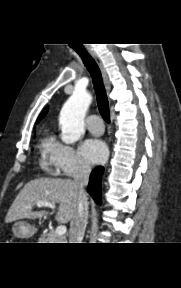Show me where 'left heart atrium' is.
<instances>
[{
	"label": "left heart atrium",
	"mask_w": 181,
	"mask_h": 288,
	"mask_svg": "<svg viewBox=\"0 0 181 288\" xmlns=\"http://www.w3.org/2000/svg\"><path fill=\"white\" fill-rule=\"evenodd\" d=\"M80 151L83 157L92 163H100L105 160L107 156V147L99 139H86L80 146Z\"/></svg>",
	"instance_id": "39dd6f15"
}]
</instances>
